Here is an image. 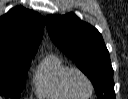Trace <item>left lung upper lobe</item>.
<instances>
[{
	"label": "left lung upper lobe",
	"mask_w": 128,
	"mask_h": 99,
	"mask_svg": "<svg viewBox=\"0 0 128 99\" xmlns=\"http://www.w3.org/2000/svg\"><path fill=\"white\" fill-rule=\"evenodd\" d=\"M53 43L91 80L98 99H115L113 69L101 34L75 14L48 15Z\"/></svg>",
	"instance_id": "5c2ea615"
}]
</instances>
